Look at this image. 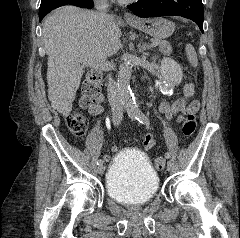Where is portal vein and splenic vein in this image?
<instances>
[{
	"instance_id": "1",
	"label": "portal vein and splenic vein",
	"mask_w": 240,
	"mask_h": 238,
	"mask_svg": "<svg viewBox=\"0 0 240 238\" xmlns=\"http://www.w3.org/2000/svg\"><path fill=\"white\" fill-rule=\"evenodd\" d=\"M158 43L156 41H153L151 44V47L157 46ZM87 66H96V67H105L107 64L106 63H100V64H94V63H86Z\"/></svg>"
}]
</instances>
